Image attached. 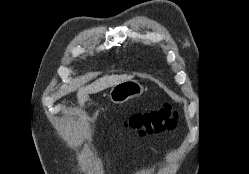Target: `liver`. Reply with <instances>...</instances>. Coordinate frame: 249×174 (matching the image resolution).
<instances>
[{"mask_svg":"<svg viewBox=\"0 0 249 174\" xmlns=\"http://www.w3.org/2000/svg\"><path fill=\"white\" fill-rule=\"evenodd\" d=\"M131 75H106L101 77L100 79L96 80L92 84L82 87L77 92V98L80 104H82L86 98L88 97V94H95L98 93L104 89H107L109 87H112L118 83L131 80Z\"/></svg>","mask_w":249,"mask_h":174,"instance_id":"6515ba94","label":"liver"}]
</instances>
